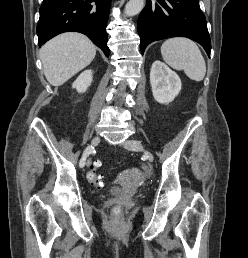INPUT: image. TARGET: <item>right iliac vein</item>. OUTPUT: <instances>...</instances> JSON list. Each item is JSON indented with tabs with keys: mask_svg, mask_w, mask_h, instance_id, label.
I'll return each mask as SVG.
<instances>
[{
	"mask_svg": "<svg viewBox=\"0 0 248 258\" xmlns=\"http://www.w3.org/2000/svg\"><path fill=\"white\" fill-rule=\"evenodd\" d=\"M100 143V137L96 136L92 139L91 144L92 146H97ZM91 164V160H87L86 166L89 167Z\"/></svg>",
	"mask_w": 248,
	"mask_h": 258,
	"instance_id": "obj_1",
	"label": "right iliac vein"
}]
</instances>
